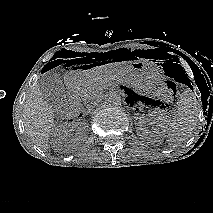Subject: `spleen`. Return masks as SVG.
I'll list each match as a JSON object with an SVG mask.
<instances>
[{
	"label": "spleen",
	"mask_w": 213,
	"mask_h": 213,
	"mask_svg": "<svg viewBox=\"0 0 213 213\" xmlns=\"http://www.w3.org/2000/svg\"><path fill=\"white\" fill-rule=\"evenodd\" d=\"M201 104L194 93L188 88L177 101L176 114L167 132V142L170 147L185 142L195 131L198 123Z\"/></svg>",
	"instance_id": "spleen-1"
}]
</instances>
